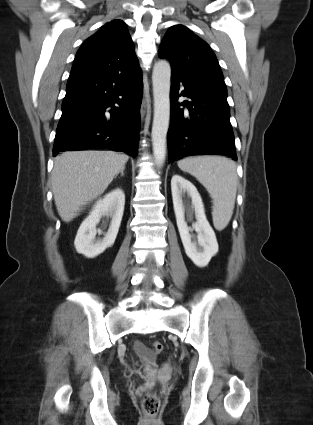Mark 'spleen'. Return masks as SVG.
Wrapping results in <instances>:
<instances>
[{"instance_id": "3e777b00", "label": "spleen", "mask_w": 313, "mask_h": 425, "mask_svg": "<svg viewBox=\"0 0 313 425\" xmlns=\"http://www.w3.org/2000/svg\"><path fill=\"white\" fill-rule=\"evenodd\" d=\"M178 167L194 176L213 199L214 227L221 231L229 223L235 205L238 177L236 164L221 156L187 157Z\"/></svg>"}]
</instances>
